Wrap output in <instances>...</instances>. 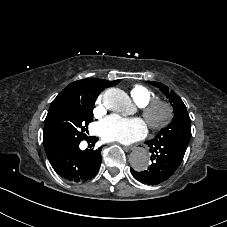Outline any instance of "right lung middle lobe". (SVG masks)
Returning a JSON list of instances; mask_svg holds the SVG:
<instances>
[{
  "label": "right lung middle lobe",
  "instance_id": "obj_1",
  "mask_svg": "<svg viewBox=\"0 0 227 227\" xmlns=\"http://www.w3.org/2000/svg\"><path fill=\"white\" fill-rule=\"evenodd\" d=\"M96 97L55 98L44 121L43 144L46 153L86 138L87 126L93 121Z\"/></svg>",
  "mask_w": 227,
  "mask_h": 227
}]
</instances>
